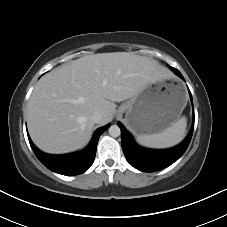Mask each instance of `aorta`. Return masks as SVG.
Returning a JSON list of instances; mask_svg holds the SVG:
<instances>
[{
  "mask_svg": "<svg viewBox=\"0 0 227 227\" xmlns=\"http://www.w3.org/2000/svg\"><path fill=\"white\" fill-rule=\"evenodd\" d=\"M120 134H121V130H120L119 126L111 125L109 127V135L111 137H118V136H120Z\"/></svg>",
  "mask_w": 227,
  "mask_h": 227,
  "instance_id": "1",
  "label": "aorta"
}]
</instances>
